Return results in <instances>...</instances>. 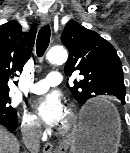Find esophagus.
I'll list each match as a JSON object with an SVG mask.
<instances>
[{
  "instance_id": "esophagus-1",
  "label": "esophagus",
  "mask_w": 130,
  "mask_h": 153,
  "mask_svg": "<svg viewBox=\"0 0 130 153\" xmlns=\"http://www.w3.org/2000/svg\"><path fill=\"white\" fill-rule=\"evenodd\" d=\"M51 21V18L49 15L45 14L41 16V22L42 24L46 25L49 24ZM53 151V144L51 142H47L43 146V152L44 153H52Z\"/></svg>"
}]
</instances>
